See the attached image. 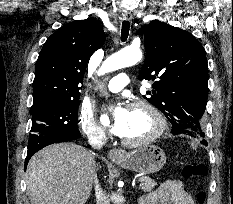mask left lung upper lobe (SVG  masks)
<instances>
[{
  "label": "left lung upper lobe",
  "instance_id": "left-lung-upper-lobe-1",
  "mask_svg": "<svg viewBox=\"0 0 233 204\" xmlns=\"http://www.w3.org/2000/svg\"><path fill=\"white\" fill-rule=\"evenodd\" d=\"M146 57L140 80H154L144 97L172 124V134L204 137L201 118L208 96L206 52L185 30L159 20L144 29Z\"/></svg>",
  "mask_w": 233,
  "mask_h": 204
}]
</instances>
